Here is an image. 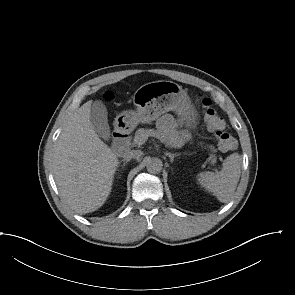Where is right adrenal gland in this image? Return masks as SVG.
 <instances>
[{
    "label": "right adrenal gland",
    "mask_w": 295,
    "mask_h": 295,
    "mask_svg": "<svg viewBox=\"0 0 295 295\" xmlns=\"http://www.w3.org/2000/svg\"><path fill=\"white\" fill-rule=\"evenodd\" d=\"M130 161V159L124 158L123 160H121L118 164V166H120V163L123 162L122 167L124 168L126 166V164Z\"/></svg>",
    "instance_id": "right-adrenal-gland-1"
}]
</instances>
